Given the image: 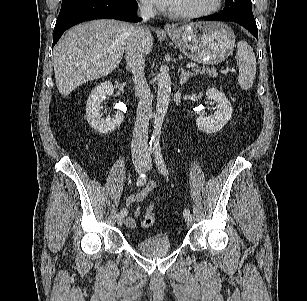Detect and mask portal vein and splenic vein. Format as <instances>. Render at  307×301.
Masks as SVG:
<instances>
[{"mask_svg": "<svg viewBox=\"0 0 307 301\" xmlns=\"http://www.w3.org/2000/svg\"><path fill=\"white\" fill-rule=\"evenodd\" d=\"M187 68H195V67H198L197 64H194V63H189L186 65ZM225 74L227 73H235L236 72V69L232 68V69H226L225 71H223Z\"/></svg>", "mask_w": 307, "mask_h": 301, "instance_id": "1", "label": "portal vein and splenic vein"}]
</instances>
